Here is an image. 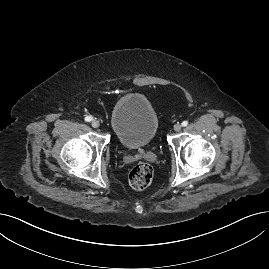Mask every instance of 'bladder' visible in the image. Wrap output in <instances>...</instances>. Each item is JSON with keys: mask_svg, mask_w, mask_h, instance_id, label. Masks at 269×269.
Returning <instances> with one entry per match:
<instances>
[{"mask_svg": "<svg viewBox=\"0 0 269 269\" xmlns=\"http://www.w3.org/2000/svg\"><path fill=\"white\" fill-rule=\"evenodd\" d=\"M110 126L121 146L139 149L151 143L158 131L159 119L146 96L130 93L114 104Z\"/></svg>", "mask_w": 269, "mask_h": 269, "instance_id": "bladder-1", "label": "bladder"}]
</instances>
